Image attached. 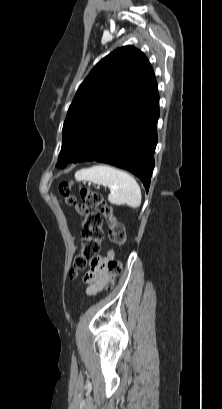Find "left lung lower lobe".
Segmentation results:
<instances>
[{
  "label": "left lung lower lobe",
  "mask_w": 222,
  "mask_h": 409,
  "mask_svg": "<svg viewBox=\"0 0 222 409\" xmlns=\"http://www.w3.org/2000/svg\"><path fill=\"white\" fill-rule=\"evenodd\" d=\"M158 117V93L147 101L127 99L122 110L95 134L74 162L98 161L126 169L139 177L148 191Z\"/></svg>",
  "instance_id": "0a47b994"
}]
</instances>
